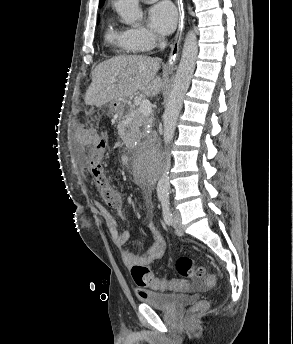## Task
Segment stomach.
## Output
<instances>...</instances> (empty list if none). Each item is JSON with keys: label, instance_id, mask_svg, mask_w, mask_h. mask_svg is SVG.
Instances as JSON below:
<instances>
[{"label": "stomach", "instance_id": "stomach-1", "mask_svg": "<svg viewBox=\"0 0 293 344\" xmlns=\"http://www.w3.org/2000/svg\"><path fill=\"white\" fill-rule=\"evenodd\" d=\"M126 106L127 102L125 100H115L109 104L110 110L116 114H122Z\"/></svg>", "mask_w": 293, "mask_h": 344}]
</instances>
